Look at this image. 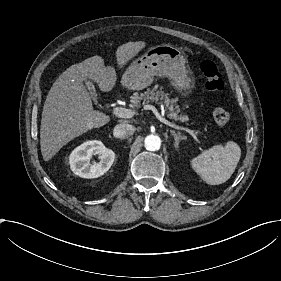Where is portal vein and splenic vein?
Here are the masks:
<instances>
[{"label":"portal vein and splenic vein","instance_id":"portal-vein-and-splenic-vein-1","mask_svg":"<svg viewBox=\"0 0 281 281\" xmlns=\"http://www.w3.org/2000/svg\"><path fill=\"white\" fill-rule=\"evenodd\" d=\"M142 109H143V110H152V111L154 112V114L156 115V117H157L158 119H160V121H161L162 123H164V125H167V126H169V127H173V130L179 131V132H182V133L190 134V135H192V137H194V138L196 137L193 141L195 142V144H196L195 146L197 147L198 150H200V149L203 147V146L201 145L202 143L199 142L200 140L197 138V137H198V132L200 131L199 129H198V130H197V129L194 130V129H190V128L180 127V125L174 124L173 121L166 120V118L160 116L159 112H158V111L156 110V108H155L154 106H152V105H144V106L142 107ZM114 113H115L116 116H118V117H120V118L130 119V118H133L134 116H137V115H138V110H137L136 108L131 109V108L117 107V108H115ZM195 131H196V132H195ZM197 131H198V132H197ZM200 132L204 134V137H205L206 139L212 141L213 143L216 142L215 140L209 138V137L207 136V134H206L204 131L201 130ZM198 142H199V143H198ZM198 144L201 145V146H200L201 148L199 147ZM216 144H217L219 147L222 146L218 141L216 142ZM201 150H202V151H201L202 155L208 158L209 156H208L207 154H204V153L206 152V150L203 149V148H202Z\"/></svg>","mask_w":281,"mask_h":281}]
</instances>
